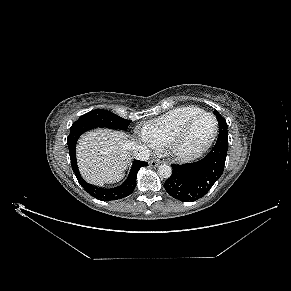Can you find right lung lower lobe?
<instances>
[{
	"instance_id": "right-lung-lower-lobe-1",
	"label": "right lung lower lobe",
	"mask_w": 291,
	"mask_h": 291,
	"mask_svg": "<svg viewBox=\"0 0 291 291\" xmlns=\"http://www.w3.org/2000/svg\"><path fill=\"white\" fill-rule=\"evenodd\" d=\"M96 128L94 125H85V124H72L70 129V134L67 138V144L69 147V155L71 160L72 169L76 175V178L78 182L81 184V186L93 197L103 200V201H111V200H118L122 199L124 197H127L130 195L135 187H136V178H137V172L138 170L143 167L147 166V162H143L140 160H135L133 162V165L131 167L129 176L124 181L123 184H121L118 187L115 188H99L93 185L88 184L80 175V172L78 170L77 162H76V143L78 138L81 134L84 132Z\"/></svg>"
}]
</instances>
